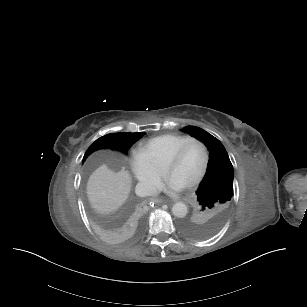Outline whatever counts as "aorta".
Wrapping results in <instances>:
<instances>
[{
	"label": "aorta",
	"mask_w": 307,
	"mask_h": 307,
	"mask_svg": "<svg viewBox=\"0 0 307 307\" xmlns=\"http://www.w3.org/2000/svg\"><path fill=\"white\" fill-rule=\"evenodd\" d=\"M171 211L175 217L183 218L187 214V206L183 202H176Z\"/></svg>",
	"instance_id": "1"
}]
</instances>
